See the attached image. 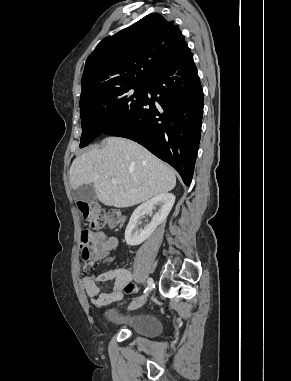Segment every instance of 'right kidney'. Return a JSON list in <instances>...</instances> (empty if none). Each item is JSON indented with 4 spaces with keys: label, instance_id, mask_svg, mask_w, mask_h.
<instances>
[{
    "label": "right kidney",
    "instance_id": "1",
    "mask_svg": "<svg viewBox=\"0 0 291 381\" xmlns=\"http://www.w3.org/2000/svg\"><path fill=\"white\" fill-rule=\"evenodd\" d=\"M174 203L175 196L173 194L162 193L138 206L131 215L125 230L126 243L131 246H136L144 242L155 231L157 226L164 222ZM156 206L159 207V210L153 216L152 221L144 226V228L139 229L138 225L140 224V218L144 214L151 213Z\"/></svg>",
    "mask_w": 291,
    "mask_h": 381
}]
</instances>
